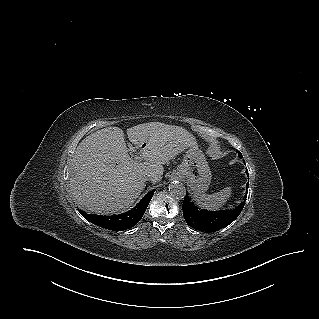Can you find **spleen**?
Segmentation results:
<instances>
[{
  "label": "spleen",
  "mask_w": 319,
  "mask_h": 319,
  "mask_svg": "<svg viewBox=\"0 0 319 319\" xmlns=\"http://www.w3.org/2000/svg\"><path fill=\"white\" fill-rule=\"evenodd\" d=\"M231 187H226L214 194H205L204 192H195L194 198L198 205L208 210H217L221 208L231 197Z\"/></svg>",
  "instance_id": "obj_1"
}]
</instances>
